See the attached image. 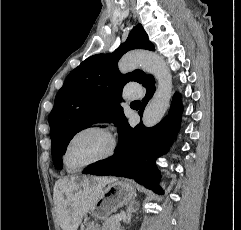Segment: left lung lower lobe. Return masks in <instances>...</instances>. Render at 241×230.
Returning a JSON list of instances; mask_svg holds the SVG:
<instances>
[{"mask_svg":"<svg viewBox=\"0 0 241 230\" xmlns=\"http://www.w3.org/2000/svg\"><path fill=\"white\" fill-rule=\"evenodd\" d=\"M143 86L147 93L138 112L140 117L155 91L153 78L148 77ZM182 110L180 96L175 94L168 116L154 127L146 128L140 122L132 128L125 117L118 126V145L114 155L90 165L82 173L126 177L148 189L162 192L155 161L166 152L164 141L172 142L176 138Z\"/></svg>","mask_w":241,"mask_h":230,"instance_id":"0a47b994","label":"left lung lower lobe"}]
</instances>
